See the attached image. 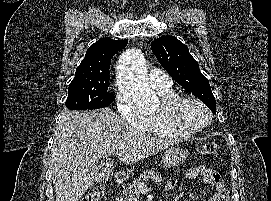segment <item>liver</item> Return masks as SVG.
<instances>
[{"mask_svg": "<svg viewBox=\"0 0 271 201\" xmlns=\"http://www.w3.org/2000/svg\"><path fill=\"white\" fill-rule=\"evenodd\" d=\"M50 168L56 201H78L93 186L91 169L119 150L125 164L139 162L174 145L128 125L112 109L66 111L54 131Z\"/></svg>", "mask_w": 271, "mask_h": 201, "instance_id": "liver-1", "label": "liver"}]
</instances>
